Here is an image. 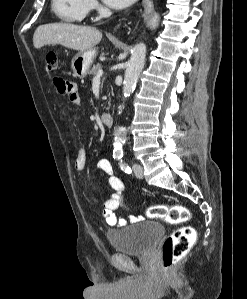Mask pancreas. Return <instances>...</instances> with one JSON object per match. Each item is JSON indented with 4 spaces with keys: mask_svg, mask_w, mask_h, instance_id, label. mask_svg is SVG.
Here are the masks:
<instances>
[{
    "mask_svg": "<svg viewBox=\"0 0 247 299\" xmlns=\"http://www.w3.org/2000/svg\"><path fill=\"white\" fill-rule=\"evenodd\" d=\"M102 69V65L100 63H97L93 65L92 69L89 71V75L95 76L99 70Z\"/></svg>",
    "mask_w": 247,
    "mask_h": 299,
    "instance_id": "cf45deb5",
    "label": "pancreas"
}]
</instances>
